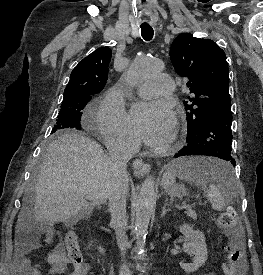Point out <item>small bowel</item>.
<instances>
[{
	"mask_svg": "<svg viewBox=\"0 0 263 275\" xmlns=\"http://www.w3.org/2000/svg\"><path fill=\"white\" fill-rule=\"evenodd\" d=\"M53 240V232L48 230L45 235V242L51 243ZM39 248L37 242H32L30 244H25L20 256V271L22 275H42L41 266L38 264H33V262L26 257L28 253L32 250ZM47 262L50 265L49 274L58 275L65 273L70 261L66 254L64 253L63 247L58 244L56 245L48 254ZM88 266L84 264L83 266H73V270L68 273V275H86ZM207 275H214L209 273Z\"/></svg>",
	"mask_w": 263,
	"mask_h": 275,
	"instance_id": "1",
	"label": "small bowel"
}]
</instances>
